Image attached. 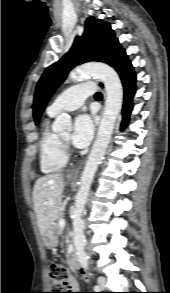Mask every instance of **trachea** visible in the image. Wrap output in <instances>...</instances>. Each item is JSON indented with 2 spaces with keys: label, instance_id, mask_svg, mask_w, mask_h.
Returning <instances> with one entry per match:
<instances>
[{
  "label": "trachea",
  "instance_id": "1",
  "mask_svg": "<svg viewBox=\"0 0 170 293\" xmlns=\"http://www.w3.org/2000/svg\"><path fill=\"white\" fill-rule=\"evenodd\" d=\"M95 97H102V94L100 93V92H97L96 94H95Z\"/></svg>",
  "mask_w": 170,
  "mask_h": 293
}]
</instances>
